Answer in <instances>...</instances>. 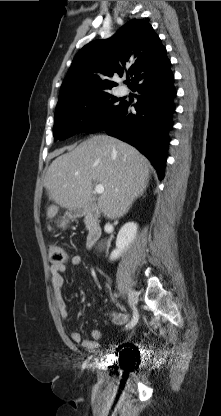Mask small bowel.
<instances>
[{"label": "small bowel", "mask_w": 221, "mask_h": 416, "mask_svg": "<svg viewBox=\"0 0 221 416\" xmlns=\"http://www.w3.org/2000/svg\"><path fill=\"white\" fill-rule=\"evenodd\" d=\"M69 263L72 267H79L82 264V257L80 255H72L69 259ZM65 265H54L50 267L51 283L53 289L54 300L56 306L63 319L68 317L67 306L63 295ZM129 320V315L121 310L114 311L111 314V321L117 325H123ZM90 339H83L80 332L74 331L71 333L70 338L74 343L81 344V346L87 351H94L98 348V341L101 339V332L98 329L91 331Z\"/></svg>", "instance_id": "obj_1"}]
</instances>
